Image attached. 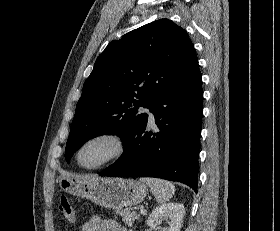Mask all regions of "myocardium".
<instances>
[{
	"instance_id": "obj_1",
	"label": "myocardium",
	"mask_w": 280,
	"mask_h": 231,
	"mask_svg": "<svg viewBox=\"0 0 280 231\" xmlns=\"http://www.w3.org/2000/svg\"><path fill=\"white\" fill-rule=\"evenodd\" d=\"M98 137H111L113 138L117 144H118V151L117 153L111 158L109 159L106 163L102 164L101 166H98L96 168H92V169H85L83 168L80 163H79V156H80V152L83 149V147L91 140L98 138ZM128 149V142H127V138L126 136L115 129H106V130H102L99 132H96L94 134H92L91 136H89L88 138H86L81 145L79 146V148L76 151V155H75V161L77 166L85 172H95V171H99L102 170L110 165H112L113 163L119 161L120 159H122Z\"/></svg>"
}]
</instances>
